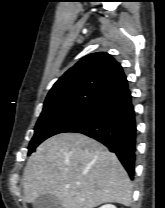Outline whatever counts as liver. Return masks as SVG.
<instances>
[{"mask_svg": "<svg viewBox=\"0 0 165 208\" xmlns=\"http://www.w3.org/2000/svg\"><path fill=\"white\" fill-rule=\"evenodd\" d=\"M23 193L27 203L54 195L62 208L132 203V184L117 156L80 133H60L38 146L24 169Z\"/></svg>", "mask_w": 165, "mask_h": 208, "instance_id": "6515ba94", "label": "liver"}]
</instances>
